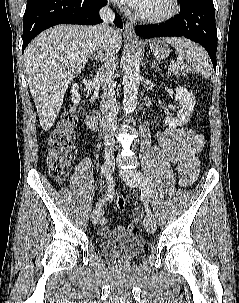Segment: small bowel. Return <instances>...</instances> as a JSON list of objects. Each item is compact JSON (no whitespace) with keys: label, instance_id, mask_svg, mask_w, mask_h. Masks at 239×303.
Instances as JSON below:
<instances>
[{"label":"small bowel","instance_id":"1","mask_svg":"<svg viewBox=\"0 0 239 303\" xmlns=\"http://www.w3.org/2000/svg\"><path fill=\"white\" fill-rule=\"evenodd\" d=\"M157 141L168 159L176 166V170L180 175V185L183 187L190 186L196 180L199 173L198 154L204 147L205 141L203 136L189 128H167L157 133ZM135 216L139 219L141 213L137 211ZM137 229L135 221L110 228L108 219L102 217L99 234L103 237H110L126 231L135 232Z\"/></svg>","mask_w":239,"mask_h":303}]
</instances>
